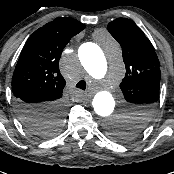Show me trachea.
Segmentation results:
<instances>
[{"label": "trachea", "mask_w": 174, "mask_h": 174, "mask_svg": "<svg viewBox=\"0 0 174 174\" xmlns=\"http://www.w3.org/2000/svg\"><path fill=\"white\" fill-rule=\"evenodd\" d=\"M76 87L80 88L82 90H85L86 89V82L84 80H81L77 83Z\"/></svg>", "instance_id": "3493384b"}]
</instances>
